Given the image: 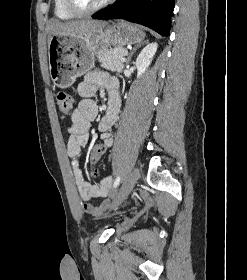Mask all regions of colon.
<instances>
[{
  "instance_id": "5ec220e1",
  "label": "colon",
  "mask_w": 247,
  "mask_h": 280,
  "mask_svg": "<svg viewBox=\"0 0 247 280\" xmlns=\"http://www.w3.org/2000/svg\"><path fill=\"white\" fill-rule=\"evenodd\" d=\"M57 104L60 113L63 116H69L72 112L73 98L66 92H60L57 95ZM107 145L105 143H94L90 153V162H97L102 156L105 155Z\"/></svg>"
}]
</instances>
